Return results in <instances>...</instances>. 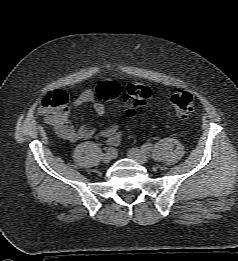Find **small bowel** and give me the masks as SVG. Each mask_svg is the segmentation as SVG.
<instances>
[{"label": "small bowel", "instance_id": "1", "mask_svg": "<svg viewBox=\"0 0 238 261\" xmlns=\"http://www.w3.org/2000/svg\"><path fill=\"white\" fill-rule=\"evenodd\" d=\"M85 103H92L93 109L98 116H103L105 107L102 102L96 100L95 93L92 89L82 91L74 100L75 107L81 106ZM56 132L63 139L76 142L78 140H85L93 136L95 129L88 125H81L75 128L68 116L62 119L59 123L53 125ZM97 138L105 141L109 145H118L122 140V133L119 131L116 124L110 125L107 129L103 130L97 135Z\"/></svg>", "mask_w": 238, "mask_h": 261}]
</instances>
